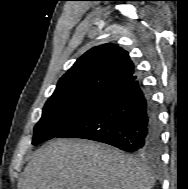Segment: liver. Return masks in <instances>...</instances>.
<instances>
[{"mask_svg": "<svg viewBox=\"0 0 188 189\" xmlns=\"http://www.w3.org/2000/svg\"><path fill=\"white\" fill-rule=\"evenodd\" d=\"M154 183L152 173L116 148L56 139L32 156L20 189H151Z\"/></svg>", "mask_w": 188, "mask_h": 189, "instance_id": "obj_1", "label": "liver"}]
</instances>
